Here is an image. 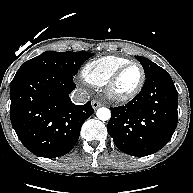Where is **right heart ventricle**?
I'll return each instance as SVG.
<instances>
[{
	"mask_svg": "<svg viewBox=\"0 0 193 193\" xmlns=\"http://www.w3.org/2000/svg\"><path fill=\"white\" fill-rule=\"evenodd\" d=\"M130 60L119 56H103L87 62L81 70V78L91 86H104L110 76Z\"/></svg>",
	"mask_w": 193,
	"mask_h": 193,
	"instance_id": "right-heart-ventricle-1",
	"label": "right heart ventricle"
}]
</instances>
